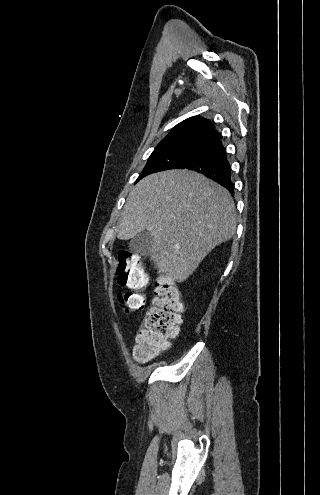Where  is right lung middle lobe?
Here are the masks:
<instances>
[{
    "mask_svg": "<svg viewBox=\"0 0 320 495\" xmlns=\"http://www.w3.org/2000/svg\"><path fill=\"white\" fill-rule=\"evenodd\" d=\"M205 143L206 141L203 140L187 139L159 144L149 157L137 181L151 173L177 169Z\"/></svg>",
    "mask_w": 320,
    "mask_h": 495,
    "instance_id": "obj_1",
    "label": "right lung middle lobe"
}]
</instances>
